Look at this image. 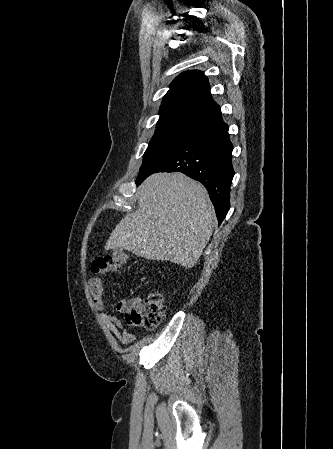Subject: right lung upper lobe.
Listing matches in <instances>:
<instances>
[{"mask_svg": "<svg viewBox=\"0 0 333 449\" xmlns=\"http://www.w3.org/2000/svg\"><path fill=\"white\" fill-rule=\"evenodd\" d=\"M157 128L186 125L204 130L222 121L220 107L210 94V86L203 72L186 71L170 85L160 107Z\"/></svg>", "mask_w": 333, "mask_h": 449, "instance_id": "1", "label": "right lung upper lobe"}]
</instances>
